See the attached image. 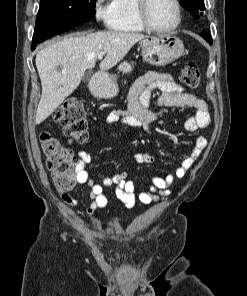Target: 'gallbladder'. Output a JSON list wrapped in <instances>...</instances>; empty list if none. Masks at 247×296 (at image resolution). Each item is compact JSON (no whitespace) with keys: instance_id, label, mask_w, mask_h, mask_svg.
<instances>
[{"instance_id":"bac80fb5","label":"gallbladder","mask_w":247,"mask_h":296,"mask_svg":"<svg viewBox=\"0 0 247 296\" xmlns=\"http://www.w3.org/2000/svg\"><path fill=\"white\" fill-rule=\"evenodd\" d=\"M89 78H90V74H86L85 77H84L85 81H88Z\"/></svg>"}]
</instances>
